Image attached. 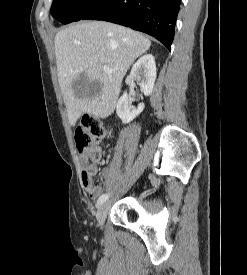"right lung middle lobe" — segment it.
<instances>
[{
  "instance_id": "1",
  "label": "right lung middle lobe",
  "mask_w": 247,
  "mask_h": 275,
  "mask_svg": "<svg viewBox=\"0 0 247 275\" xmlns=\"http://www.w3.org/2000/svg\"><path fill=\"white\" fill-rule=\"evenodd\" d=\"M103 0H53L51 14L63 24L81 20Z\"/></svg>"
}]
</instances>
